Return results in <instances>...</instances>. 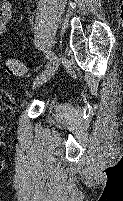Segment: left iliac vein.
Here are the masks:
<instances>
[{
  "label": "left iliac vein",
  "mask_w": 123,
  "mask_h": 201,
  "mask_svg": "<svg viewBox=\"0 0 123 201\" xmlns=\"http://www.w3.org/2000/svg\"><path fill=\"white\" fill-rule=\"evenodd\" d=\"M62 61L63 56L61 54L56 56V59L34 80L33 89L48 81L54 75Z\"/></svg>",
  "instance_id": "1"
}]
</instances>
